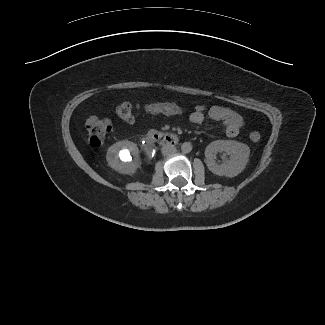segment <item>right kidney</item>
Here are the masks:
<instances>
[{
  "mask_svg": "<svg viewBox=\"0 0 325 325\" xmlns=\"http://www.w3.org/2000/svg\"><path fill=\"white\" fill-rule=\"evenodd\" d=\"M110 167L122 174H133L139 167V149L131 141L123 140L109 147L106 155Z\"/></svg>",
  "mask_w": 325,
  "mask_h": 325,
  "instance_id": "ca27d5eb",
  "label": "right kidney"
}]
</instances>
